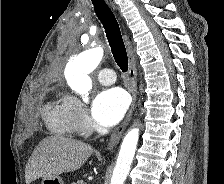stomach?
Instances as JSON below:
<instances>
[{"mask_svg": "<svg viewBox=\"0 0 224 184\" xmlns=\"http://www.w3.org/2000/svg\"><path fill=\"white\" fill-rule=\"evenodd\" d=\"M41 184H64V181L61 177L53 178H42Z\"/></svg>", "mask_w": 224, "mask_h": 184, "instance_id": "obj_1", "label": "stomach"}]
</instances>
